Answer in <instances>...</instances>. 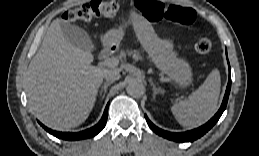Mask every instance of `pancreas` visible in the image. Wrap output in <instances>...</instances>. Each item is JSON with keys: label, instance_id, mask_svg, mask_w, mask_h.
Segmentation results:
<instances>
[{"label": "pancreas", "instance_id": "pancreas-1", "mask_svg": "<svg viewBox=\"0 0 259 156\" xmlns=\"http://www.w3.org/2000/svg\"><path fill=\"white\" fill-rule=\"evenodd\" d=\"M129 55H132L134 59H139L140 55L137 51H129L128 52Z\"/></svg>", "mask_w": 259, "mask_h": 156}]
</instances>
